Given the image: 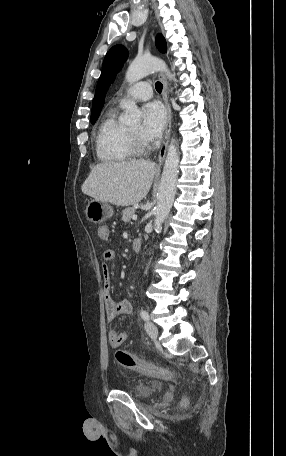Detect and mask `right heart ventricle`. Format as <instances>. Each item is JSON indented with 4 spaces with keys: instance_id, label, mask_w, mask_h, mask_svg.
<instances>
[{
    "instance_id": "right-heart-ventricle-1",
    "label": "right heart ventricle",
    "mask_w": 286,
    "mask_h": 456,
    "mask_svg": "<svg viewBox=\"0 0 286 456\" xmlns=\"http://www.w3.org/2000/svg\"><path fill=\"white\" fill-rule=\"evenodd\" d=\"M96 153L106 163H120L132 157L128 129L117 121L114 110L107 113L99 126Z\"/></svg>"
}]
</instances>
